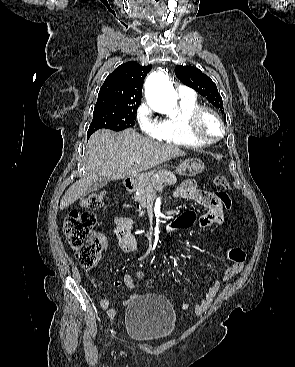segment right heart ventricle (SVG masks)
Here are the masks:
<instances>
[{
    "instance_id": "e07e8e85",
    "label": "right heart ventricle",
    "mask_w": 295,
    "mask_h": 367,
    "mask_svg": "<svg viewBox=\"0 0 295 367\" xmlns=\"http://www.w3.org/2000/svg\"><path fill=\"white\" fill-rule=\"evenodd\" d=\"M200 105L196 98L185 99L181 98L178 106V113L173 117H167L162 120V132L159 138L160 141L176 146L187 148L203 147L205 144L194 139L189 133L187 121L193 110Z\"/></svg>"
}]
</instances>
